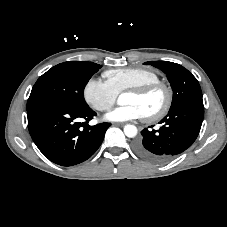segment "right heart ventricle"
<instances>
[{"label": "right heart ventricle", "instance_id": "1", "mask_svg": "<svg viewBox=\"0 0 227 227\" xmlns=\"http://www.w3.org/2000/svg\"><path fill=\"white\" fill-rule=\"evenodd\" d=\"M104 77L117 95L130 88L160 81L157 73L141 67L107 70L104 72Z\"/></svg>", "mask_w": 227, "mask_h": 227}]
</instances>
